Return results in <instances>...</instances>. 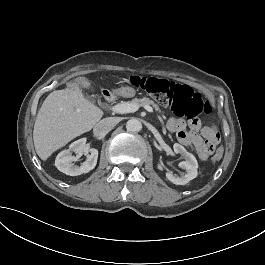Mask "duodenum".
<instances>
[{"instance_id":"duodenum-1","label":"duodenum","mask_w":265,"mask_h":265,"mask_svg":"<svg viewBox=\"0 0 265 265\" xmlns=\"http://www.w3.org/2000/svg\"><path fill=\"white\" fill-rule=\"evenodd\" d=\"M102 95H106V92L104 90H101Z\"/></svg>"}]
</instances>
